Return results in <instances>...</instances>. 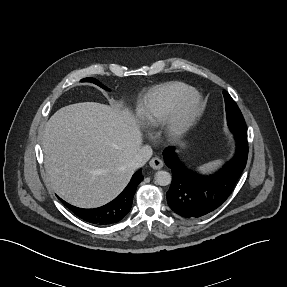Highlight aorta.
<instances>
[{"label": "aorta", "mask_w": 287, "mask_h": 287, "mask_svg": "<svg viewBox=\"0 0 287 287\" xmlns=\"http://www.w3.org/2000/svg\"><path fill=\"white\" fill-rule=\"evenodd\" d=\"M155 182L160 186H167L171 183V175L169 172L160 170L155 173Z\"/></svg>", "instance_id": "aorta-1"}]
</instances>
